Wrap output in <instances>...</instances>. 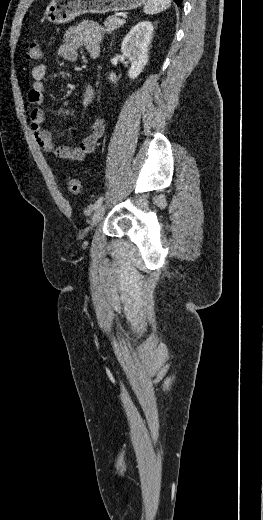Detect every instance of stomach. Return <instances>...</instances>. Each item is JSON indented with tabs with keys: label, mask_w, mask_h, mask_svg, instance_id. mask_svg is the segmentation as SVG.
I'll return each instance as SVG.
<instances>
[{
	"label": "stomach",
	"mask_w": 263,
	"mask_h": 520,
	"mask_svg": "<svg viewBox=\"0 0 263 520\" xmlns=\"http://www.w3.org/2000/svg\"><path fill=\"white\" fill-rule=\"evenodd\" d=\"M145 3L146 0H52L44 17L51 23L62 24L86 13L104 14L132 10Z\"/></svg>",
	"instance_id": "1"
}]
</instances>
